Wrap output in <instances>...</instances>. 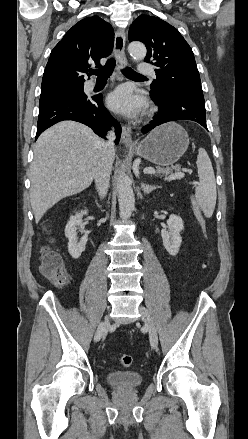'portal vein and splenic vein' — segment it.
<instances>
[{"instance_id": "portal-vein-and-splenic-vein-1", "label": "portal vein and splenic vein", "mask_w": 248, "mask_h": 439, "mask_svg": "<svg viewBox=\"0 0 248 439\" xmlns=\"http://www.w3.org/2000/svg\"><path fill=\"white\" fill-rule=\"evenodd\" d=\"M144 173H145V174H155L156 171H155L154 168L148 167V168H146V169L144 170ZM179 177H180V176H173V177H171V178H167V179H168V180H175V179H178ZM181 177H184V173L181 174Z\"/></svg>"}]
</instances>
